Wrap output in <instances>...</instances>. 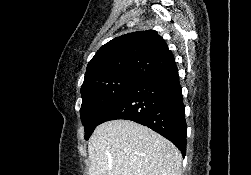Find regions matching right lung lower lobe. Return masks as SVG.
I'll return each mask as SVG.
<instances>
[{"label": "right lung lower lobe", "instance_id": "obj_1", "mask_svg": "<svg viewBox=\"0 0 251 175\" xmlns=\"http://www.w3.org/2000/svg\"><path fill=\"white\" fill-rule=\"evenodd\" d=\"M177 66L132 85L100 117L99 124L115 119L145 125L170 140L186 154L185 106Z\"/></svg>", "mask_w": 251, "mask_h": 175}]
</instances>
